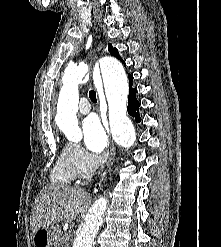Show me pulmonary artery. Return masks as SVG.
Segmentation results:
<instances>
[{
	"mask_svg": "<svg viewBox=\"0 0 221 247\" xmlns=\"http://www.w3.org/2000/svg\"><path fill=\"white\" fill-rule=\"evenodd\" d=\"M90 103L88 99L86 98H81L79 101V112L82 114H87L90 111Z\"/></svg>",
	"mask_w": 221,
	"mask_h": 247,
	"instance_id": "e3ab8cb5",
	"label": "pulmonary artery"
}]
</instances>
